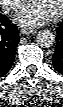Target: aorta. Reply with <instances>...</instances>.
<instances>
[{"instance_id": "762f6f07", "label": "aorta", "mask_w": 63, "mask_h": 107, "mask_svg": "<svg viewBox=\"0 0 63 107\" xmlns=\"http://www.w3.org/2000/svg\"><path fill=\"white\" fill-rule=\"evenodd\" d=\"M36 41L39 46L49 48L55 44V34L50 30H40L36 35Z\"/></svg>"}]
</instances>
